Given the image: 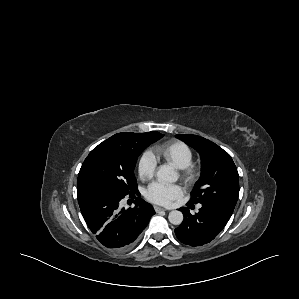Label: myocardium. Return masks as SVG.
<instances>
[{"instance_id": "myocardium-1", "label": "myocardium", "mask_w": 299, "mask_h": 299, "mask_svg": "<svg viewBox=\"0 0 299 299\" xmlns=\"http://www.w3.org/2000/svg\"><path fill=\"white\" fill-rule=\"evenodd\" d=\"M199 173V166L192 162L180 169L181 178L188 184L194 183L197 180Z\"/></svg>"}]
</instances>
